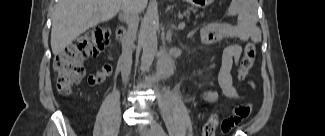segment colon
<instances>
[{"instance_id":"5ec220e1","label":"colon","mask_w":325,"mask_h":136,"mask_svg":"<svg viewBox=\"0 0 325 136\" xmlns=\"http://www.w3.org/2000/svg\"><path fill=\"white\" fill-rule=\"evenodd\" d=\"M109 42L107 29H96L80 35L70 45L58 54L54 61L56 72V86L60 94H69L73 87L79 83L85 75L83 62L91 56H96ZM255 48L248 43L244 48V54L240 61L238 76L244 79L253 66ZM219 125L216 114L209 117L203 126L202 136H214Z\"/></svg>"}]
</instances>
